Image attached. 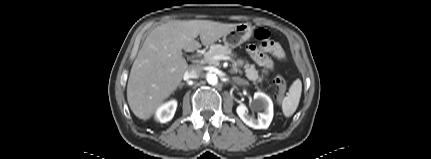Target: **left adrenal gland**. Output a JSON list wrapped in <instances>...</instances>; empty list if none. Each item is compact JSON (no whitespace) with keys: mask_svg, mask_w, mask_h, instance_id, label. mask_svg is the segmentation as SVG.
Segmentation results:
<instances>
[{"mask_svg":"<svg viewBox=\"0 0 431 159\" xmlns=\"http://www.w3.org/2000/svg\"><path fill=\"white\" fill-rule=\"evenodd\" d=\"M232 80H233L235 83H237L238 85H247V83H246L243 79H240V78H238V77H233V78H232Z\"/></svg>","mask_w":431,"mask_h":159,"instance_id":"left-adrenal-gland-1","label":"left adrenal gland"}]
</instances>
